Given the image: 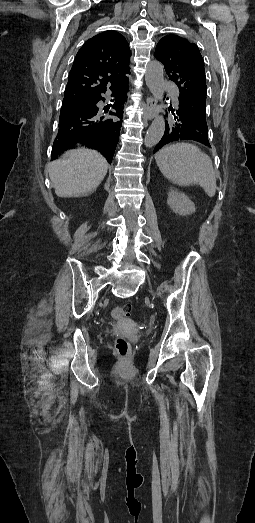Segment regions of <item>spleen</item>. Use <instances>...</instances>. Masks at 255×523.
Returning a JSON list of instances; mask_svg holds the SVG:
<instances>
[{"label":"spleen","instance_id":"obj_1","mask_svg":"<svg viewBox=\"0 0 255 523\" xmlns=\"http://www.w3.org/2000/svg\"><path fill=\"white\" fill-rule=\"evenodd\" d=\"M156 164L165 178L178 186L199 184L213 198L216 178L212 162L193 144H171L155 154Z\"/></svg>","mask_w":255,"mask_h":523}]
</instances>
